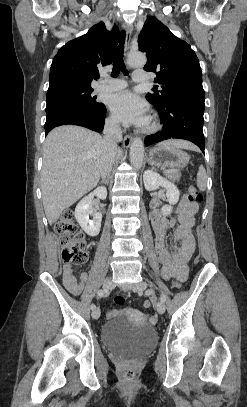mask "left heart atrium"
<instances>
[{
  "instance_id": "left-heart-atrium-1",
  "label": "left heart atrium",
  "mask_w": 247,
  "mask_h": 407,
  "mask_svg": "<svg viewBox=\"0 0 247 407\" xmlns=\"http://www.w3.org/2000/svg\"><path fill=\"white\" fill-rule=\"evenodd\" d=\"M107 104L119 122L135 126H143L148 122L147 104L131 91L112 94Z\"/></svg>"
}]
</instances>
